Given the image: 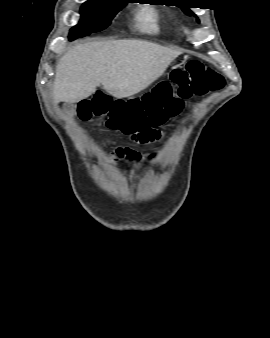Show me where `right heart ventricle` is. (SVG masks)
<instances>
[{
    "mask_svg": "<svg viewBox=\"0 0 270 338\" xmlns=\"http://www.w3.org/2000/svg\"><path fill=\"white\" fill-rule=\"evenodd\" d=\"M162 13L154 5L143 7L139 13V27L143 32L156 34L160 29Z\"/></svg>",
    "mask_w": 270,
    "mask_h": 338,
    "instance_id": "right-heart-ventricle-1",
    "label": "right heart ventricle"
}]
</instances>
